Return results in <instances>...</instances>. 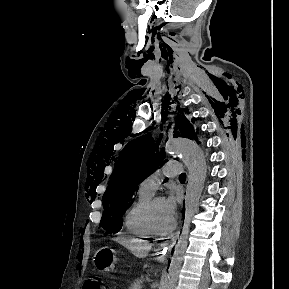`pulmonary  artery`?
Returning a JSON list of instances; mask_svg holds the SVG:
<instances>
[{"label":"pulmonary artery","instance_id":"obj_1","mask_svg":"<svg viewBox=\"0 0 289 289\" xmlns=\"http://www.w3.org/2000/svg\"><path fill=\"white\" fill-rule=\"evenodd\" d=\"M181 174L180 163L176 160L166 162L159 170L145 178L139 185L141 191L154 194L163 177H177Z\"/></svg>","mask_w":289,"mask_h":289}]
</instances>
